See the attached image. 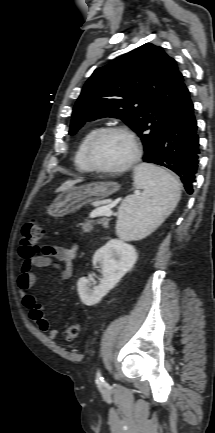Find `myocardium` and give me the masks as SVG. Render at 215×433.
Masks as SVG:
<instances>
[{
	"label": "myocardium",
	"mask_w": 215,
	"mask_h": 433,
	"mask_svg": "<svg viewBox=\"0 0 215 433\" xmlns=\"http://www.w3.org/2000/svg\"><path fill=\"white\" fill-rule=\"evenodd\" d=\"M108 133H120L128 138V140L131 142L133 152L130 157V159L122 166L116 167V168H104L100 167L95 164L93 157H92V151L93 147L96 144V142L103 137L104 135ZM141 156V145L140 142L136 136V134L131 131L129 128L124 126H108L99 129L89 140L87 143L86 149H85V158L90 166V168L99 173H106V174H122L127 171H129L131 168H133L136 163L139 161Z\"/></svg>",
	"instance_id": "1"
}]
</instances>
